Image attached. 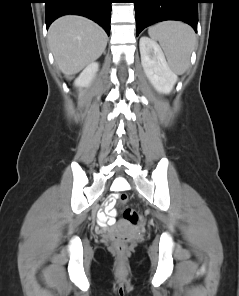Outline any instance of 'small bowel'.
<instances>
[{
    "label": "small bowel",
    "instance_id": "1",
    "mask_svg": "<svg viewBox=\"0 0 239 296\" xmlns=\"http://www.w3.org/2000/svg\"><path fill=\"white\" fill-rule=\"evenodd\" d=\"M116 216V210L114 208V204L112 202L108 203L103 212L98 214V217L104 223L110 224L114 221Z\"/></svg>",
    "mask_w": 239,
    "mask_h": 296
}]
</instances>
